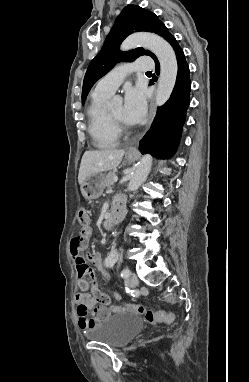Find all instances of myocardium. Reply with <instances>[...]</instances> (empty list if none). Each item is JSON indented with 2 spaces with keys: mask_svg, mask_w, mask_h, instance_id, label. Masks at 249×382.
Listing matches in <instances>:
<instances>
[{
  "mask_svg": "<svg viewBox=\"0 0 249 382\" xmlns=\"http://www.w3.org/2000/svg\"><path fill=\"white\" fill-rule=\"evenodd\" d=\"M108 118L110 122L112 123L113 127L118 133L124 132L128 130V126H126L122 121L115 119L109 111H107Z\"/></svg>",
  "mask_w": 249,
  "mask_h": 382,
  "instance_id": "myocardium-1",
  "label": "myocardium"
}]
</instances>
